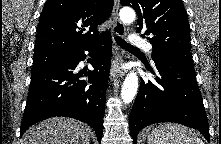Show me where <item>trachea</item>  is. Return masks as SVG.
I'll return each mask as SVG.
<instances>
[{
  "instance_id": "3493384b",
  "label": "trachea",
  "mask_w": 221,
  "mask_h": 144,
  "mask_svg": "<svg viewBox=\"0 0 221 144\" xmlns=\"http://www.w3.org/2000/svg\"><path fill=\"white\" fill-rule=\"evenodd\" d=\"M115 41L117 42V44L124 48V49H128V50H138V48L130 45L129 43H127L126 41H124L122 38L115 36Z\"/></svg>"
}]
</instances>
